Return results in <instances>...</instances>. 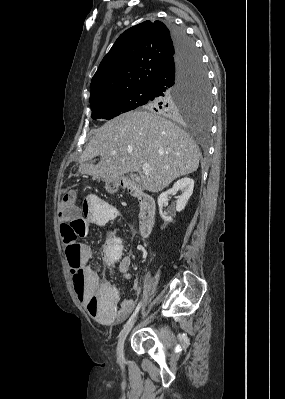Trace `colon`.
Listing matches in <instances>:
<instances>
[{
  "mask_svg": "<svg viewBox=\"0 0 285 399\" xmlns=\"http://www.w3.org/2000/svg\"><path fill=\"white\" fill-rule=\"evenodd\" d=\"M82 205L77 201L76 191L71 188L64 193L59 205V218L62 219L60 224V233L62 241L66 245V255L71 265L72 287L74 293L83 289L84 279L83 270L79 265L80 252L78 240L80 238V229L84 227V221L80 216ZM109 252L116 253L117 256L122 254V245L118 242L114 249L109 248ZM100 301H94L93 306H99Z\"/></svg>",
  "mask_w": 285,
  "mask_h": 399,
  "instance_id": "5ec220e1",
  "label": "colon"
}]
</instances>
